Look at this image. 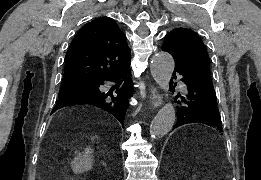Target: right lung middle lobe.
I'll use <instances>...</instances> for the list:
<instances>
[{"label":"right lung middle lobe","instance_id":"dd1d6c3e","mask_svg":"<svg viewBox=\"0 0 261 180\" xmlns=\"http://www.w3.org/2000/svg\"><path fill=\"white\" fill-rule=\"evenodd\" d=\"M97 86V81H62L59 99L76 94L92 92Z\"/></svg>","mask_w":261,"mask_h":180}]
</instances>
